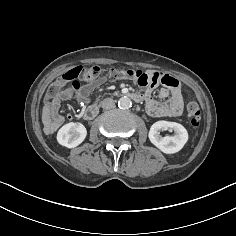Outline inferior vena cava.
<instances>
[{
  "label": "inferior vena cava",
  "mask_w": 236,
  "mask_h": 236,
  "mask_svg": "<svg viewBox=\"0 0 236 236\" xmlns=\"http://www.w3.org/2000/svg\"><path fill=\"white\" fill-rule=\"evenodd\" d=\"M101 106L103 109H111L115 106V102L112 98H106L101 102Z\"/></svg>",
  "instance_id": "obj_1"
}]
</instances>
